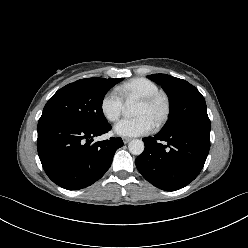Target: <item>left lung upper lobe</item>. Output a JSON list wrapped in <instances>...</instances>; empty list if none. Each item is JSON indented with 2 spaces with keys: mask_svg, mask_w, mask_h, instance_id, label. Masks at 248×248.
Returning a JSON list of instances; mask_svg holds the SVG:
<instances>
[{
  "mask_svg": "<svg viewBox=\"0 0 248 248\" xmlns=\"http://www.w3.org/2000/svg\"><path fill=\"white\" fill-rule=\"evenodd\" d=\"M149 78L163 87L171 101L170 120L162 133L171 132L193 121L209 119L205 99L196 87L167 74H153Z\"/></svg>",
  "mask_w": 248,
  "mask_h": 248,
  "instance_id": "left-lung-upper-lobe-1",
  "label": "left lung upper lobe"
}]
</instances>
